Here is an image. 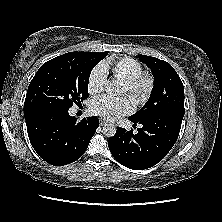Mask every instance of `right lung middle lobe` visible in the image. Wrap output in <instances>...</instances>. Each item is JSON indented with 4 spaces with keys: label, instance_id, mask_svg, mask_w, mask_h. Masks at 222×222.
Returning <instances> with one entry per match:
<instances>
[{
    "label": "right lung middle lobe",
    "instance_id": "1",
    "mask_svg": "<svg viewBox=\"0 0 222 222\" xmlns=\"http://www.w3.org/2000/svg\"><path fill=\"white\" fill-rule=\"evenodd\" d=\"M108 52H69L44 63L29 84L24 113L69 110L88 97L92 69Z\"/></svg>",
    "mask_w": 222,
    "mask_h": 222
}]
</instances>
